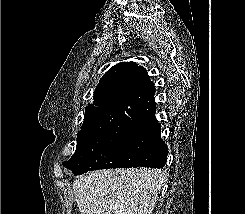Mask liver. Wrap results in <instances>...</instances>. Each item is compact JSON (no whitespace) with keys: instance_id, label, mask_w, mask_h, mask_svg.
I'll use <instances>...</instances> for the list:
<instances>
[{"instance_id":"liver-1","label":"liver","mask_w":245,"mask_h":214,"mask_svg":"<svg viewBox=\"0 0 245 214\" xmlns=\"http://www.w3.org/2000/svg\"><path fill=\"white\" fill-rule=\"evenodd\" d=\"M165 181L158 169H109L82 175L72 187L82 214H151Z\"/></svg>"}]
</instances>
